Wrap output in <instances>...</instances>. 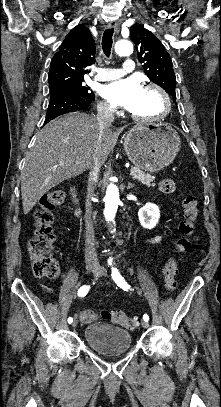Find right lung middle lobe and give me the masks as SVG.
Returning <instances> with one entry per match:
<instances>
[{"label": "right lung middle lobe", "mask_w": 221, "mask_h": 407, "mask_svg": "<svg viewBox=\"0 0 221 407\" xmlns=\"http://www.w3.org/2000/svg\"><path fill=\"white\" fill-rule=\"evenodd\" d=\"M62 96H79L93 98L94 94L93 92H90V88L85 87L82 82L50 90V99Z\"/></svg>", "instance_id": "right-lung-middle-lobe-1"}]
</instances>
